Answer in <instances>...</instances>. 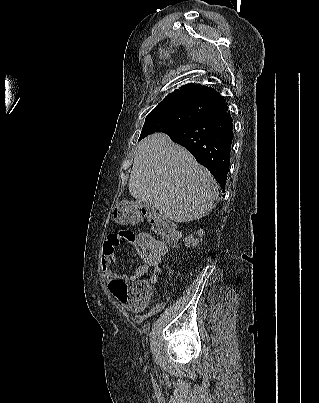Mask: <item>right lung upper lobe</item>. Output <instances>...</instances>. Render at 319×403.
<instances>
[{"label": "right lung upper lobe", "instance_id": "obj_1", "mask_svg": "<svg viewBox=\"0 0 319 403\" xmlns=\"http://www.w3.org/2000/svg\"><path fill=\"white\" fill-rule=\"evenodd\" d=\"M173 102H190L204 106L211 110L212 114L227 111V105L216 90L202 86L201 84H188L168 94L159 104Z\"/></svg>", "mask_w": 319, "mask_h": 403}]
</instances>
